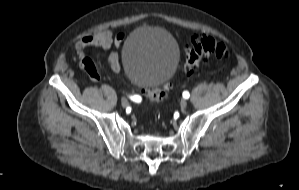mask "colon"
Wrapping results in <instances>:
<instances>
[{"mask_svg": "<svg viewBox=\"0 0 299 190\" xmlns=\"http://www.w3.org/2000/svg\"><path fill=\"white\" fill-rule=\"evenodd\" d=\"M230 56V50L223 42L210 36H195L186 47L184 70L187 73H191L206 59L221 62L228 61ZM77 59L89 76L97 72L93 61L83 52L78 53ZM170 89L169 83H163L160 87L144 89L143 95L151 102L159 104L165 102L167 92Z\"/></svg>", "mask_w": 299, "mask_h": 190, "instance_id": "5ec220e1", "label": "colon"}]
</instances>
